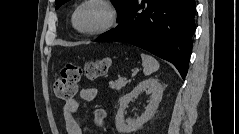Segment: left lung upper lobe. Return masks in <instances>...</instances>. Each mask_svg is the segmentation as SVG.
<instances>
[{
    "instance_id": "obj_1",
    "label": "left lung upper lobe",
    "mask_w": 239,
    "mask_h": 134,
    "mask_svg": "<svg viewBox=\"0 0 239 134\" xmlns=\"http://www.w3.org/2000/svg\"><path fill=\"white\" fill-rule=\"evenodd\" d=\"M68 0H56V9H58L62 4L67 2ZM134 0H112L113 5L115 6L117 12H118V18L119 21L123 18L125 13L127 12L128 8L132 4Z\"/></svg>"
}]
</instances>
